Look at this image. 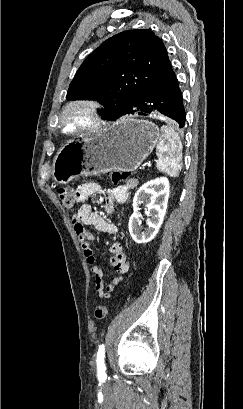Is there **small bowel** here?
<instances>
[{"label": "small bowel", "instance_id": "small-bowel-1", "mask_svg": "<svg viewBox=\"0 0 243 409\" xmlns=\"http://www.w3.org/2000/svg\"><path fill=\"white\" fill-rule=\"evenodd\" d=\"M138 185L136 179L129 180L126 184L110 189L103 197L104 209L111 214L115 210V202L123 203L129 198L130 192ZM101 193V188L97 183L89 182L82 184L76 190L79 201L85 202L89 197ZM72 223L84 252L85 259L91 268L94 275L95 289L100 298H109L114 288L123 280V274L128 271V260L120 242H114L109 247V252L112 254L110 259L111 265L115 271L112 281L104 284V271L100 264L97 263L94 251L89 245V242L94 239L92 232L87 230L85 226L93 227L99 231L110 234H117L118 227L115 224L106 222L99 214L94 212L91 206L84 203L79 210L73 214Z\"/></svg>", "mask_w": 243, "mask_h": 409}]
</instances>
